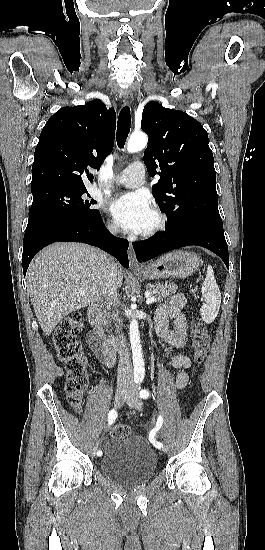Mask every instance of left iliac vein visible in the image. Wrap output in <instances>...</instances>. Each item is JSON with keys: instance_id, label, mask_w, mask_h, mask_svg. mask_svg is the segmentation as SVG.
<instances>
[{"instance_id": "1", "label": "left iliac vein", "mask_w": 265, "mask_h": 550, "mask_svg": "<svg viewBox=\"0 0 265 550\" xmlns=\"http://www.w3.org/2000/svg\"><path fill=\"white\" fill-rule=\"evenodd\" d=\"M125 400L131 408L141 409L142 401L135 389L129 390ZM163 450L166 451V448H163Z\"/></svg>"}]
</instances>
